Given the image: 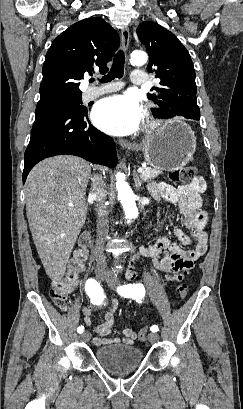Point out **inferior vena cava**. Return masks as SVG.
<instances>
[{
    "label": "inferior vena cava",
    "instance_id": "1",
    "mask_svg": "<svg viewBox=\"0 0 243 409\" xmlns=\"http://www.w3.org/2000/svg\"><path fill=\"white\" fill-rule=\"evenodd\" d=\"M92 181L90 196L95 198V209L97 212V239L94 253L96 256L97 267L105 269L107 264L103 246L105 237L108 233V212L105 205L107 190L100 175H95L92 178Z\"/></svg>",
    "mask_w": 243,
    "mask_h": 409
}]
</instances>
